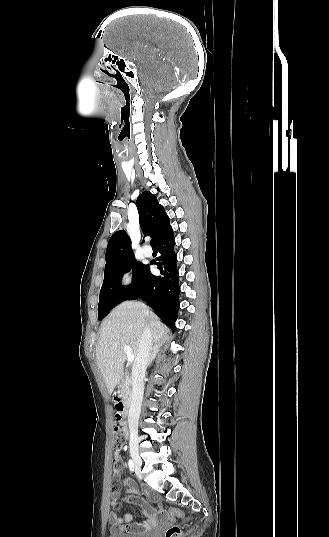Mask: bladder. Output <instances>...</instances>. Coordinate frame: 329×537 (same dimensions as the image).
Wrapping results in <instances>:
<instances>
[{
    "instance_id": "obj_1",
    "label": "bladder",
    "mask_w": 329,
    "mask_h": 537,
    "mask_svg": "<svg viewBox=\"0 0 329 537\" xmlns=\"http://www.w3.org/2000/svg\"><path fill=\"white\" fill-rule=\"evenodd\" d=\"M108 537H155V534L152 531H145V532H140V533H128V532H113L111 530Z\"/></svg>"
}]
</instances>
